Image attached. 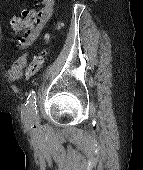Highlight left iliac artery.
Here are the masks:
<instances>
[{
  "label": "left iliac artery",
  "mask_w": 143,
  "mask_h": 170,
  "mask_svg": "<svg viewBox=\"0 0 143 170\" xmlns=\"http://www.w3.org/2000/svg\"><path fill=\"white\" fill-rule=\"evenodd\" d=\"M27 111L26 114L28 117H33L34 119H38L37 114V105H36V92L34 90L30 91L27 102L25 104Z\"/></svg>",
  "instance_id": "obj_1"
}]
</instances>
